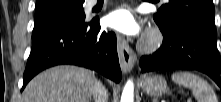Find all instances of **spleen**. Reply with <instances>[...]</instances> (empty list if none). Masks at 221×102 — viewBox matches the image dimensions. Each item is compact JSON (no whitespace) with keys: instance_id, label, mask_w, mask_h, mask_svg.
Returning a JSON list of instances; mask_svg holds the SVG:
<instances>
[{"instance_id":"obj_1","label":"spleen","mask_w":221,"mask_h":102,"mask_svg":"<svg viewBox=\"0 0 221 102\" xmlns=\"http://www.w3.org/2000/svg\"><path fill=\"white\" fill-rule=\"evenodd\" d=\"M171 79L180 87L192 90L197 102H217V97L212 87L203 78L191 72H175Z\"/></svg>"}]
</instances>
